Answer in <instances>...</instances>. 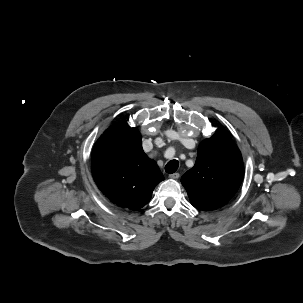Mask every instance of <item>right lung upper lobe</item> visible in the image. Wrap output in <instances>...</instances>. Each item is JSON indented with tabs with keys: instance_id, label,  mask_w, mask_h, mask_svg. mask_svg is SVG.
Returning <instances> with one entry per match:
<instances>
[{
	"instance_id": "cb5924a9",
	"label": "right lung upper lobe",
	"mask_w": 303,
	"mask_h": 303,
	"mask_svg": "<svg viewBox=\"0 0 303 303\" xmlns=\"http://www.w3.org/2000/svg\"><path fill=\"white\" fill-rule=\"evenodd\" d=\"M92 174L111 202L131 210L142 208L151 199L163 175L154 160L142 149L141 135L127 122L107 129L92 151Z\"/></svg>"
}]
</instances>
